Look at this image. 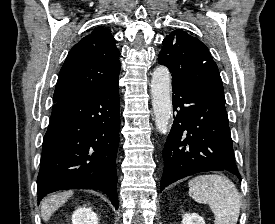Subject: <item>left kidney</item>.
<instances>
[{"mask_svg":"<svg viewBox=\"0 0 275 224\" xmlns=\"http://www.w3.org/2000/svg\"><path fill=\"white\" fill-rule=\"evenodd\" d=\"M182 224H205V221L197 213H189L183 216Z\"/></svg>","mask_w":275,"mask_h":224,"instance_id":"5707ae66","label":"left kidney"}]
</instances>
